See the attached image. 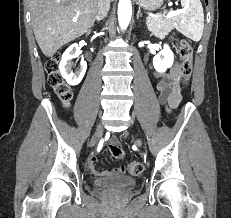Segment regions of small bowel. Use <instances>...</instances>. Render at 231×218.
I'll return each mask as SVG.
<instances>
[{
	"instance_id": "small-bowel-1",
	"label": "small bowel",
	"mask_w": 231,
	"mask_h": 218,
	"mask_svg": "<svg viewBox=\"0 0 231 218\" xmlns=\"http://www.w3.org/2000/svg\"><path fill=\"white\" fill-rule=\"evenodd\" d=\"M154 76L160 78L156 85L159 91V101L166 106L167 110L176 108L181 101L180 81L182 75L179 64L175 63L165 75L154 72ZM96 163L97 156L92 155L88 160V166L91 173L95 176H118L125 171V166L102 171L97 168Z\"/></svg>"
}]
</instances>
